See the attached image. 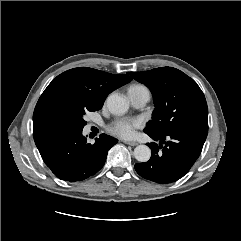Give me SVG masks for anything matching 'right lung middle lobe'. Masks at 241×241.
<instances>
[{
  "label": "right lung middle lobe",
  "instance_id": "dd1d6c3e",
  "mask_svg": "<svg viewBox=\"0 0 241 241\" xmlns=\"http://www.w3.org/2000/svg\"><path fill=\"white\" fill-rule=\"evenodd\" d=\"M84 108H77L63 104H54L44 109L33 124L34 132L47 131L59 128L83 129L86 125Z\"/></svg>",
  "mask_w": 241,
  "mask_h": 241
}]
</instances>
